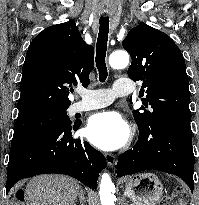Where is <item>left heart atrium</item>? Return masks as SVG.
<instances>
[{"label":"left heart atrium","mask_w":199,"mask_h":205,"mask_svg":"<svg viewBox=\"0 0 199 205\" xmlns=\"http://www.w3.org/2000/svg\"><path fill=\"white\" fill-rule=\"evenodd\" d=\"M86 137L100 149L115 150L129 139L130 127L117 112L105 111L93 115L85 129Z\"/></svg>","instance_id":"39dd6f15"}]
</instances>
